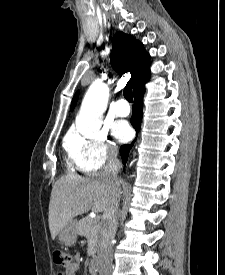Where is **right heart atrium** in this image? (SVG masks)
Instances as JSON below:
<instances>
[{
    "instance_id": "d8ad5b80",
    "label": "right heart atrium",
    "mask_w": 225,
    "mask_h": 275,
    "mask_svg": "<svg viewBox=\"0 0 225 275\" xmlns=\"http://www.w3.org/2000/svg\"><path fill=\"white\" fill-rule=\"evenodd\" d=\"M67 150L78 169L92 172L116 158V149L105 130L85 136L75 132L68 135Z\"/></svg>"
}]
</instances>
